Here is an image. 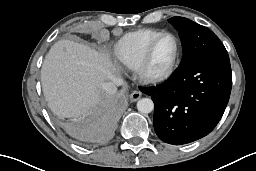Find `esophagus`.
<instances>
[{"label": "esophagus", "mask_w": 256, "mask_h": 171, "mask_svg": "<svg viewBox=\"0 0 256 171\" xmlns=\"http://www.w3.org/2000/svg\"><path fill=\"white\" fill-rule=\"evenodd\" d=\"M141 95L142 93L140 91L135 90L130 94L129 98L132 102H135L140 99Z\"/></svg>", "instance_id": "esophagus-1"}]
</instances>
